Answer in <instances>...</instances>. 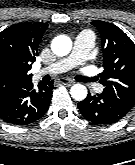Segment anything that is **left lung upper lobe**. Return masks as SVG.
<instances>
[{"instance_id":"1","label":"left lung upper lobe","mask_w":135,"mask_h":165,"mask_svg":"<svg viewBox=\"0 0 135 165\" xmlns=\"http://www.w3.org/2000/svg\"><path fill=\"white\" fill-rule=\"evenodd\" d=\"M101 35L104 70L99 74L105 93L131 109L135 105V44L116 25L94 20Z\"/></svg>"}]
</instances>
